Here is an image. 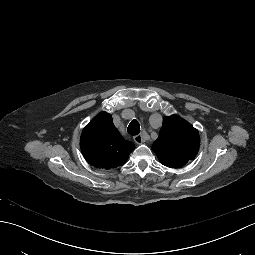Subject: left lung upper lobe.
Masks as SVG:
<instances>
[{
	"instance_id": "5c2ea615",
	"label": "left lung upper lobe",
	"mask_w": 255,
	"mask_h": 255,
	"mask_svg": "<svg viewBox=\"0 0 255 255\" xmlns=\"http://www.w3.org/2000/svg\"><path fill=\"white\" fill-rule=\"evenodd\" d=\"M199 143L198 131L178 115H172L164 117L152 150L163 165L179 168L196 156Z\"/></svg>"
}]
</instances>
